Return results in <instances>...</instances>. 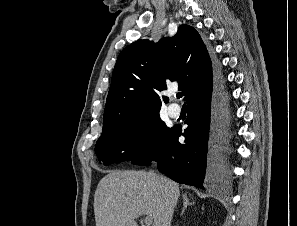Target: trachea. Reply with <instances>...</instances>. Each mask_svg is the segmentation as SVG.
<instances>
[{"instance_id":"1","label":"trachea","mask_w":297,"mask_h":226,"mask_svg":"<svg viewBox=\"0 0 297 226\" xmlns=\"http://www.w3.org/2000/svg\"><path fill=\"white\" fill-rule=\"evenodd\" d=\"M177 98H181L182 97V93H177Z\"/></svg>"}]
</instances>
